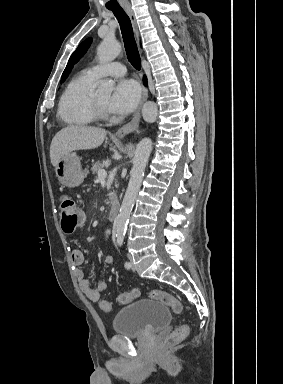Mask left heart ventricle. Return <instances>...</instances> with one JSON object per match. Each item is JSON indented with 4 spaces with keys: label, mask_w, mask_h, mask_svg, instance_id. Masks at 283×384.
Here are the masks:
<instances>
[{
    "label": "left heart ventricle",
    "mask_w": 283,
    "mask_h": 384,
    "mask_svg": "<svg viewBox=\"0 0 283 384\" xmlns=\"http://www.w3.org/2000/svg\"><path fill=\"white\" fill-rule=\"evenodd\" d=\"M97 103L101 106V108L107 113L110 114L111 112L108 109V102H109V94L105 95H98L93 97Z\"/></svg>",
    "instance_id": "left-heart-ventricle-1"
}]
</instances>
